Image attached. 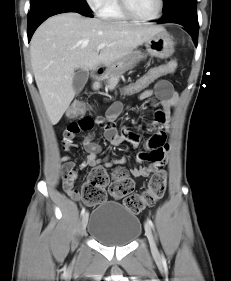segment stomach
<instances>
[{
	"instance_id": "0dacf381",
	"label": "stomach",
	"mask_w": 231,
	"mask_h": 281,
	"mask_svg": "<svg viewBox=\"0 0 231 281\" xmlns=\"http://www.w3.org/2000/svg\"><path fill=\"white\" fill-rule=\"evenodd\" d=\"M146 54L135 50L129 55L107 67L110 72H124L133 69L139 61L151 55L159 58L170 57L174 52V42L169 34L163 30L145 41Z\"/></svg>"
}]
</instances>
